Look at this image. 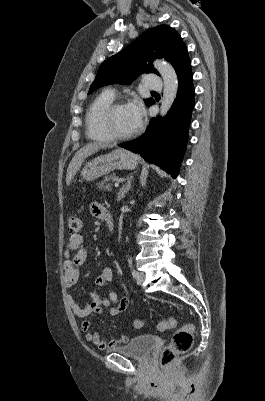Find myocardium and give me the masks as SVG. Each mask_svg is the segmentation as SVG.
<instances>
[{
	"instance_id": "1",
	"label": "myocardium",
	"mask_w": 265,
	"mask_h": 401,
	"mask_svg": "<svg viewBox=\"0 0 265 401\" xmlns=\"http://www.w3.org/2000/svg\"><path fill=\"white\" fill-rule=\"evenodd\" d=\"M126 106L124 101H113L110 105H108L101 113L99 118V126L102 132L106 135L107 140L116 141V140H127L134 136L136 133V129H134L131 133L126 135H118L115 134L111 128V117L116 111L117 108Z\"/></svg>"
}]
</instances>
